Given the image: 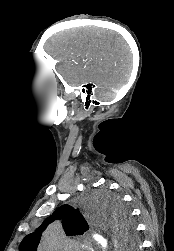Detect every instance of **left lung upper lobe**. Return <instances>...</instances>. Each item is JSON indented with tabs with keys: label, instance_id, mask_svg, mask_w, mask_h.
Segmentation results:
<instances>
[{
	"label": "left lung upper lobe",
	"instance_id": "1",
	"mask_svg": "<svg viewBox=\"0 0 174 251\" xmlns=\"http://www.w3.org/2000/svg\"><path fill=\"white\" fill-rule=\"evenodd\" d=\"M106 211L113 215L115 225L122 232L123 238L132 246L136 244L135 228L130 219L129 211L123 206L120 198L113 196L107 199ZM63 218V226L68 236L83 234L88 230L86 223L79 210H75L69 205L59 207L45 222L36 230V232L27 235L19 246V251H36L40 241L41 233L46 226L55 219ZM135 249V247H134Z\"/></svg>",
	"mask_w": 174,
	"mask_h": 251
}]
</instances>
